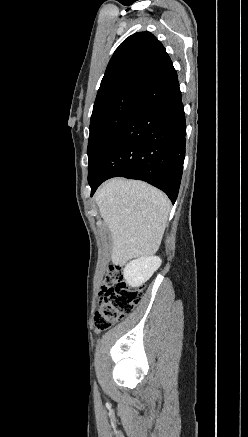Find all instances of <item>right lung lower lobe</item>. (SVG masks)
Returning a JSON list of instances; mask_svg holds the SVG:
<instances>
[{
    "instance_id": "obj_1",
    "label": "right lung lower lobe",
    "mask_w": 248,
    "mask_h": 437,
    "mask_svg": "<svg viewBox=\"0 0 248 437\" xmlns=\"http://www.w3.org/2000/svg\"><path fill=\"white\" fill-rule=\"evenodd\" d=\"M184 106L172 62L144 87L88 173L91 196L106 179L146 181L176 201L185 156Z\"/></svg>"
}]
</instances>
